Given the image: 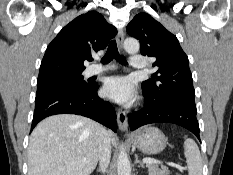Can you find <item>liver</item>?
<instances>
[{"instance_id":"1","label":"liver","mask_w":233,"mask_h":175,"mask_svg":"<svg viewBox=\"0 0 233 175\" xmlns=\"http://www.w3.org/2000/svg\"><path fill=\"white\" fill-rule=\"evenodd\" d=\"M100 128L74 114L45 118L30 136L28 175H90L99 158ZM107 133L114 144V133Z\"/></svg>"}]
</instances>
